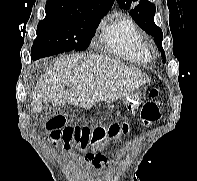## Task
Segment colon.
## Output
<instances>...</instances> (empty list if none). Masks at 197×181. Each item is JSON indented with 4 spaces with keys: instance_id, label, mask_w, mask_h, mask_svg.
Instances as JSON below:
<instances>
[{
    "instance_id": "colon-1",
    "label": "colon",
    "mask_w": 197,
    "mask_h": 181,
    "mask_svg": "<svg viewBox=\"0 0 197 181\" xmlns=\"http://www.w3.org/2000/svg\"><path fill=\"white\" fill-rule=\"evenodd\" d=\"M151 101L145 103L141 110V123L149 126L157 121L162 113V107L158 100L159 89L151 88L149 91ZM67 117L59 115L48 121L46 129L54 143L62 142L64 148L69 149L73 144L82 150L91 147L93 151L105 147L109 139L116 138L130 130L128 123H114L107 127L67 126Z\"/></svg>"
}]
</instances>
